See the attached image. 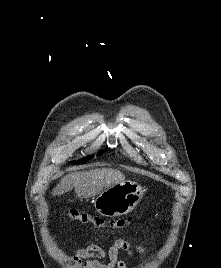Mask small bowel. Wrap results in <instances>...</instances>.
Instances as JSON below:
<instances>
[{
  "label": "small bowel",
  "mask_w": 221,
  "mask_h": 268,
  "mask_svg": "<svg viewBox=\"0 0 221 268\" xmlns=\"http://www.w3.org/2000/svg\"><path fill=\"white\" fill-rule=\"evenodd\" d=\"M113 243L105 249L97 244H90L81 249H77L72 259L78 268H127V262L119 259V252L125 251L128 254L134 252L141 253L143 248L138 245H133L129 241L120 238L112 237ZM107 259L103 262V259Z\"/></svg>",
  "instance_id": "c3829d8e"
}]
</instances>
